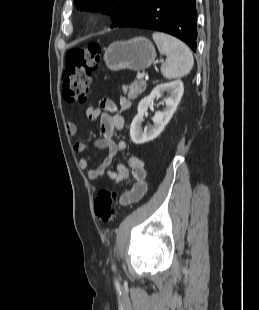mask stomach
Returning <instances> with one entry per match:
<instances>
[{"mask_svg": "<svg viewBox=\"0 0 259 310\" xmlns=\"http://www.w3.org/2000/svg\"><path fill=\"white\" fill-rule=\"evenodd\" d=\"M155 57L154 45L144 37L114 42L104 53V61L111 71H141L150 67Z\"/></svg>", "mask_w": 259, "mask_h": 310, "instance_id": "1", "label": "stomach"}]
</instances>
